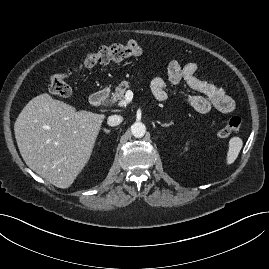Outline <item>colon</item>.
Instances as JSON below:
<instances>
[{
  "label": "colon",
  "instance_id": "obj_1",
  "mask_svg": "<svg viewBox=\"0 0 269 269\" xmlns=\"http://www.w3.org/2000/svg\"><path fill=\"white\" fill-rule=\"evenodd\" d=\"M141 52L142 48L136 41H129L126 44L103 46L95 51L86 53L78 65L72 67L70 70H77L80 67H93L112 61H121L128 57L137 56ZM70 70L56 72L50 77L49 91L51 94L65 99L72 96V88L66 80ZM241 124V118L234 116L217 131V136L225 138L235 134L240 130Z\"/></svg>",
  "mask_w": 269,
  "mask_h": 269
}]
</instances>
